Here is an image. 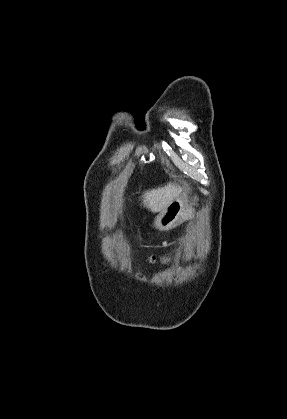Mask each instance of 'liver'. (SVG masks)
<instances>
[{"mask_svg": "<svg viewBox=\"0 0 287 419\" xmlns=\"http://www.w3.org/2000/svg\"><path fill=\"white\" fill-rule=\"evenodd\" d=\"M182 188L172 183L146 191L142 195L143 205L153 213L161 212L181 194Z\"/></svg>", "mask_w": 287, "mask_h": 419, "instance_id": "6515ba94", "label": "liver"}]
</instances>
